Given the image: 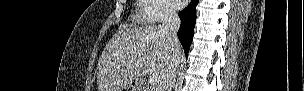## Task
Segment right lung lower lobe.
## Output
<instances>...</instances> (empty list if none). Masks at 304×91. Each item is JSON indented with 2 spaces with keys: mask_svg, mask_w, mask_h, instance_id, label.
I'll return each instance as SVG.
<instances>
[{
  "mask_svg": "<svg viewBox=\"0 0 304 91\" xmlns=\"http://www.w3.org/2000/svg\"><path fill=\"white\" fill-rule=\"evenodd\" d=\"M198 2L199 0H191L190 4L185 9L178 13V16L181 19V26L177 34L186 56L193 39L196 22V6Z\"/></svg>",
  "mask_w": 304,
  "mask_h": 91,
  "instance_id": "obj_1",
  "label": "right lung lower lobe"
}]
</instances>
